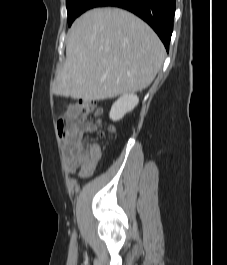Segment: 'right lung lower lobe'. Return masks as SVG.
<instances>
[{
    "instance_id": "obj_1",
    "label": "right lung lower lobe",
    "mask_w": 227,
    "mask_h": 265,
    "mask_svg": "<svg viewBox=\"0 0 227 265\" xmlns=\"http://www.w3.org/2000/svg\"><path fill=\"white\" fill-rule=\"evenodd\" d=\"M104 6L123 8L139 16L153 28L166 50H169L175 0H95L91 8Z\"/></svg>"
}]
</instances>
